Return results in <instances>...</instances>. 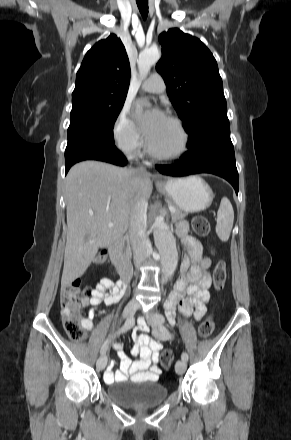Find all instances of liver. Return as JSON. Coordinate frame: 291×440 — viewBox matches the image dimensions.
Segmentation results:
<instances>
[{
	"mask_svg": "<svg viewBox=\"0 0 291 440\" xmlns=\"http://www.w3.org/2000/svg\"><path fill=\"white\" fill-rule=\"evenodd\" d=\"M152 190L149 174L136 169L99 161H83L70 169L65 180L67 239L62 288L86 272L99 248L123 237L133 207L140 200L147 203Z\"/></svg>",
	"mask_w": 291,
	"mask_h": 440,
	"instance_id": "6515ba94",
	"label": "liver"
}]
</instances>
